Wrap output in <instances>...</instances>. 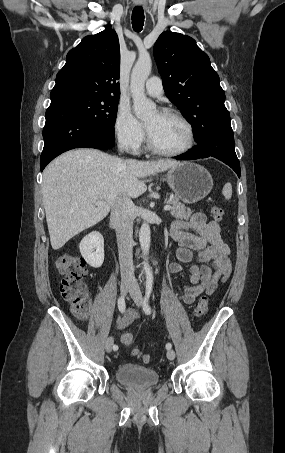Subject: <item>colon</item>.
<instances>
[{"label":"colon","mask_w":285,"mask_h":453,"mask_svg":"<svg viewBox=\"0 0 285 453\" xmlns=\"http://www.w3.org/2000/svg\"><path fill=\"white\" fill-rule=\"evenodd\" d=\"M211 215L216 220L223 217V209L219 206L210 208ZM55 266L58 272L63 276L61 281V295L69 302L73 310L78 315H84L90 307V297L84 280L87 276L85 261L75 254H63L56 259ZM209 303L206 296H202L195 308L197 317L204 316L208 312ZM121 342L124 346L130 347L134 343V336L130 332H125L121 336ZM133 354L147 363L150 358L143 355L138 349L133 350Z\"/></svg>","instance_id":"obj_1"}]
</instances>
